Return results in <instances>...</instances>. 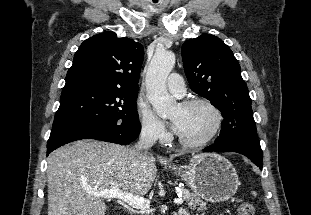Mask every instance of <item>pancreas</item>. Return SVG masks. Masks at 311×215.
<instances>
[{
    "label": "pancreas",
    "instance_id": "cf45deb5",
    "mask_svg": "<svg viewBox=\"0 0 311 215\" xmlns=\"http://www.w3.org/2000/svg\"><path fill=\"white\" fill-rule=\"evenodd\" d=\"M180 191L182 192V197L184 200L188 202V206L197 211H203L207 207L206 202H203L200 197H198L195 193H191L188 189L184 187H180Z\"/></svg>",
    "mask_w": 311,
    "mask_h": 215
}]
</instances>
